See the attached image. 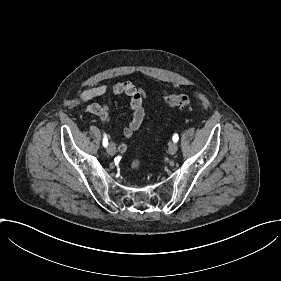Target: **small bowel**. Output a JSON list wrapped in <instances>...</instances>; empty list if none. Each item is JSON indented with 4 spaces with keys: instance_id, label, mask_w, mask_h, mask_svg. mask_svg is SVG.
Segmentation results:
<instances>
[{
    "instance_id": "obj_1",
    "label": "small bowel",
    "mask_w": 281,
    "mask_h": 281,
    "mask_svg": "<svg viewBox=\"0 0 281 281\" xmlns=\"http://www.w3.org/2000/svg\"><path fill=\"white\" fill-rule=\"evenodd\" d=\"M108 92H110L112 96H125L129 100V105L132 109L133 115L129 127L124 129L123 135L126 138H131L133 132L141 126L145 116V109L143 107V91L141 88H138L130 82L116 83L110 90L107 85L104 84L84 90L81 94V100L84 104H86L85 111L99 117L104 122H108L110 120L109 107L107 105L89 102L94 98L106 95ZM118 149L120 151H125L127 149V145L120 143L118 145Z\"/></svg>"
}]
</instances>
